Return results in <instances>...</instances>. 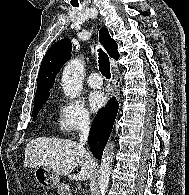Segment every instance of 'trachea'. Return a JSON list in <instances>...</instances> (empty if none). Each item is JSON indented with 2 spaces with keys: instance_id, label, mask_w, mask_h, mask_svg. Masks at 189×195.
<instances>
[{
  "instance_id": "3493384b",
  "label": "trachea",
  "mask_w": 189,
  "mask_h": 195,
  "mask_svg": "<svg viewBox=\"0 0 189 195\" xmlns=\"http://www.w3.org/2000/svg\"><path fill=\"white\" fill-rule=\"evenodd\" d=\"M99 70L107 79L111 78L109 57L102 49H98Z\"/></svg>"
}]
</instances>
